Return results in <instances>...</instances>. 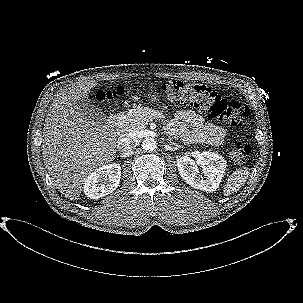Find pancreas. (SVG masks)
<instances>
[{"instance_id": "obj_1", "label": "pancreas", "mask_w": 303, "mask_h": 303, "mask_svg": "<svg viewBox=\"0 0 303 303\" xmlns=\"http://www.w3.org/2000/svg\"><path fill=\"white\" fill-rule=\"evenodd\" d=\"M162 112L145 107L122 113L118 122L121 133L138 131L145 128L149 121L164 119Z\"/></svg>"}]
</instances>
